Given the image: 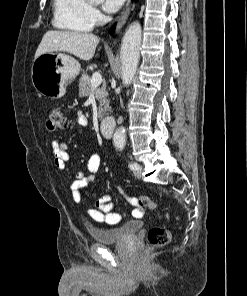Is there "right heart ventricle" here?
<instances>
[{"label": "right heart ventricle", "instance_id": "e07e8e85", "mask_svg": "<svg viewBox=\"0 0 247 296\" xmlns=\"http://www.w3.org/2000/svg\"><path fill=\"white\" fill-rule=\"evenodd\" d=\"M88 0H53V25L73 32H88L93 24L88 16Z\"/></svg>", "mask_w": 247, "mask_h": 296}]
</instances>
